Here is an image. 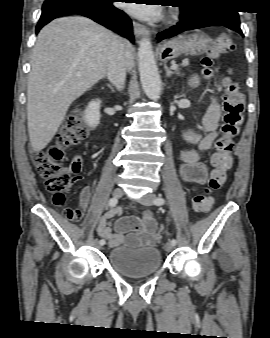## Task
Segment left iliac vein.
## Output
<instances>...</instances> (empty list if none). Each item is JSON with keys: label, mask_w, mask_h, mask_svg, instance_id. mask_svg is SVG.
<instances>
[{"label": "left iliac vein", "mask_w": 270, "mask_h": 338, "mask_svg": "<svg viewBox=\"0 0 270 338\" xmlns=\"http://www.w3.org/2000/svg\"><path fill=\"white\" fill-rule=\"evenodd\" d=\"M155 199V195L153 193H147L142 198L139 199V202L145 206L153 205V200ZM165 249L167 252H171L174 249V245L170 242L166 244Z\"/></svg>", "instance_id": "left-iliac-vein-1"}]
</instances>
